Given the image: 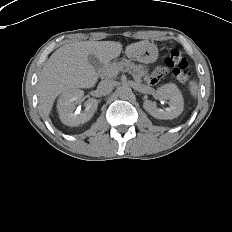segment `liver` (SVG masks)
Here are the masks:
<instances>
[{"mask_svg":"<svg viewBox=\"0 0 232 232\" xmlns=\"http://www.w3.org/2000/svg\"><path fill=\"white\" fill-rule=\"evenodd\" d=\"M148 41L126 46L125 54H133ZM122 44L115 41H80L67 43L58 48L44 65L38 81L40 114L47 118L56 97L74 88H92L98 75L88 56L94 54L100 63H108L120 56Z\"/></svg>","mask_w":232,"mask_h":232,"instance_id":"obj_1","label":"liver"}]
</instances>
